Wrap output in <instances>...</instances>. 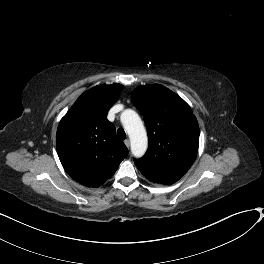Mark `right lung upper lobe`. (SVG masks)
I'll return each instance as SVG.
<instances>
[{
  "instance_id": "cb5924a9",
  "label": "right lung upper lobe",
  "mask_w": 264,
  "mask_h": 264,
  "mask_svg": "<svg viewBox=\"0 0 264 264\" xmlns=\"http://www.w3.org/2000/svg\"><path fill=\"white\" fill-rule=\"evenodd\" d=\"M121 84L97 85L84 92L61 119L56 133L59 159L78 183L98 187L128 155L107 112L118 100Z\"/></svg>"
}]
</instances>
